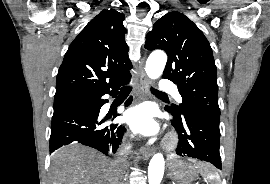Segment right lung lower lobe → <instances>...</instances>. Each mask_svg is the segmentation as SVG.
<instances>
[{
    "mask_svg": "<svg viewBox=\"0 0 270 184\" xmlns=\"http://www.w3.org/2000/svg\"><path fill=\"white\" fill-rule=\"evenodd\" d=\"M125 83L107 90L55 97L50 153L70 143H81L106 155L115 153L126 129L117 124L99 127L106 121L99 119L100 109L108 101L101 97L105 94L115 96ZM130 103L131 98L127 100L126 106Z\"/></svg>",
    "mask_w": 270,
    "mask_h": 184,
    "instance_id": "right-lung-lower-lobe-1",
    "label": "right lung lower lobe"
}]
</instances>
